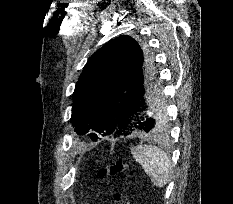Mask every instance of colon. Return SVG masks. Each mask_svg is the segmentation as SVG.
I'll list each match as a JSON object with an SVG mask.
<instances>
[{
    "instance_id": "5ec220e1",
    "label": "colon",
    "mask_w": 233,
    "mask_h": 204,
    "mask_svg": "<svg viewBox=\"0 0 233 204\" xmlns=\"http://www.w3.org/2000/svg\"><path fill=\"white\" fill-rule=\"evenodd\" d=\"M123 172L132 174L133 171L124 160L118 159L106 166L105 168L101 169L99 171V175L101 177H115ZM112 198L114 204H128L126 189L116 191L113 194Z\"/></svg>"
}]
</instances>
